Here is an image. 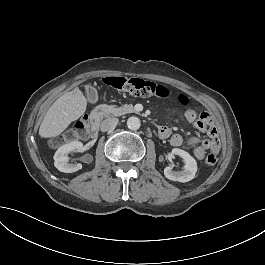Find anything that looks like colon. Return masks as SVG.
I'll use <instances>...</instances> for the list:
<instances>
[{
  "label": "colon",
  "mask_w": 265,
  "mask_h": 265,
  "mask_svg": "<svg viewBox=\"0 0 265 265\" xmlns=\"http://www.w3.org/2000/svg\"><path fill=\"white\" fill-rule=\"evenodd\" d=\"M102 82L104 85L116 91L128 93L135 97H157L159 99H166L173 94L168 86L139 77L110 75L103 78ZM177 101L182 106L191 109V103L186 95H177ZM72 137L73 133L71 131L67 132L66 138L71 139ZM53 141L55 144L59 145L62 142V137L56 136ZM217 160L218 158L215 153H210L205 157V163L207 165H214L217 163Z\"/></svg>",
  "instance_id": "obj_1"
}]
</instances>
